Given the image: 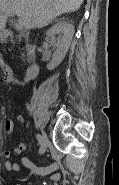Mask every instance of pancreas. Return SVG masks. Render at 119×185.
<instances>
[{
    "label": "pancreas",
    "mask_w": 119,
    "mask_h": 185,
    "mask_svg": "<svg viewBox=\"0 0 119 185\" xmlns=\"http://www.w3.org/2000/svg\"><path fill=\"white\" fill-rule=\"evenodd\" d=\"M18 37H19V40H21V36H18ZM26 50H27V52L29 54V52L31 50V46L28 43L26 44Z\"/></svg>",
    "instance_id": "cf45deb5"
}]
</instances>
